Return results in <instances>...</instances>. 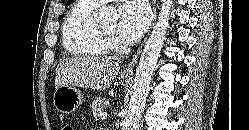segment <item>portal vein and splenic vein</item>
Returning <instances> with one entry per match:
<instances>
[{"label": "portal vein and splenic vein", "mask_w": 249, "mask_h": 130, "mask_svg": "<svg viewBox=\"0 0 249 130\" xmlns=\"http://www.w3.org/2000/svg\"><path fill=\"white\" fill-rule=\"evenodd\" d=\"M100 119L104 120L107 118V113L106 112H101L99 115Z\"/></svg>", "instance_id": "18ae733b"}]
</instances>
